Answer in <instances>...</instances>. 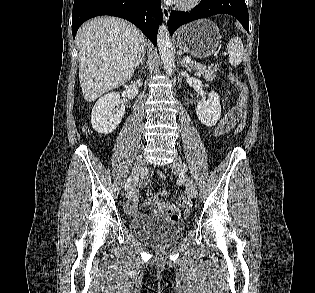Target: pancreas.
<instances>
[{"label": "pancreas", "mask_w": 315, "mask_h": 293, "mask_svg": "<svg viewBox=\"0 0 315 293\" xmlns=\"http://www.w3.org/2000/svg\"><path fill=\"white\" fill-rule=\"evenodd\" d=\"M189 68L195 71V74L200 77L201 75L208 81L214 80L218 71L217 66H208L205 67L199 63L189 64Z\"/></svg>", "instance_id": "1"}]
</instances>
